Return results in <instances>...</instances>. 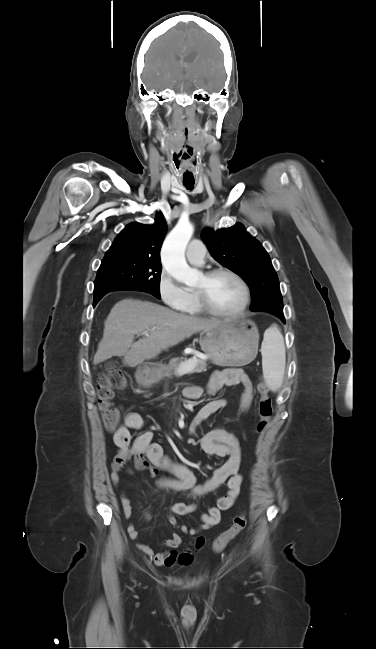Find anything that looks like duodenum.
Returning <instances> with one entry per match:
<instances>
[{"label":"duodenum","instance_id":"obj_1","mask_svg":"<svg viewBox=\"0 0 376 649\" xmlns=\"http://www.w3.org/2000/svg\"><path fill=\"white\" fill-rule=\"evenodd\" d=\"M140 378H141L142 380L146 378V372H145V371H141V373H140Z\"/></svg>","mask_w":376,"mask_h":649}]
</instances>
